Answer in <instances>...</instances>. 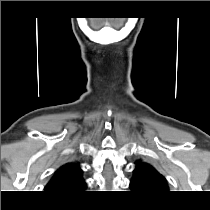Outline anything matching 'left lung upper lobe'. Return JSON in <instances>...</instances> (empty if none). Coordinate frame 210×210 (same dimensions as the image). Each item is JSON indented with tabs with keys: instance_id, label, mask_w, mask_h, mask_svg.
<instances>
[{
	"instance_id": "5c2ea615",
	"label": "left lung upper lobe",
	"mask_w": 210,
	"mask_h": 210,
	"mask_svg": "<svg viewBox=\"0 0 210 210\" xmlns=\"http://www.w3.org/2000/svg\"><path fill=\"white\" fill-rule=\"evenodd\" d=\"M130 188L146 195H161L169 191L165 177L148 163L137 161Z\"/></svg>"
}]
</instances>
